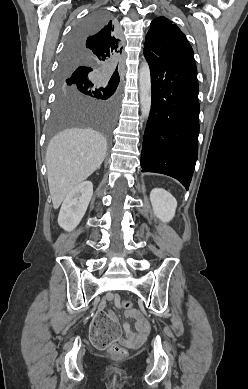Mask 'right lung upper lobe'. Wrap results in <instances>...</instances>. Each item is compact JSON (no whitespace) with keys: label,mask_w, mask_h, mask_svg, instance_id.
I'll use <instances>...</instances> for the list:
<instances>
[{"label":"right lung upper lobe","mask_w":248,"mask_h":389,"mask_svg":"<svg viewBox=\"0 0 248 389\" xmlns=\"http://www.w3.org/2000/svg\"><path fill=\"white\" fill-rule=\"evenodd\" d=\"M67 48H73V56L81 55L87 62L99 64L105 68H112L116 59L121 54V39L117 28L112 21L106 23L96 32L81 39L77 44L73 43ZM118 80L117 70L111 76Z\"/></svg>","instance_id":"1"}]
</instances>
